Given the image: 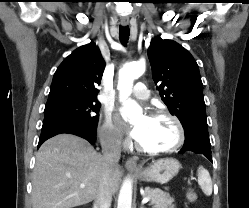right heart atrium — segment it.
<instances>
[{"mask_svg": "<svg viewBox=\"0 0 249 208\" xmlns=\"http://www.w3.org/2000/svg\"><path fill=\"white\" fill-rule=\"evenodd\" d=\"M102 141L113 147H120L126 144L122 132L118 125L113 121L109 113L105 114V119L99 130Z\"/></svg>", "mask_w": 249, "mask_h": 208, "instance_id": "obj_1", "label": "right heart atrium"}]
</instances>
